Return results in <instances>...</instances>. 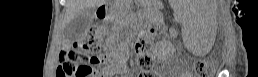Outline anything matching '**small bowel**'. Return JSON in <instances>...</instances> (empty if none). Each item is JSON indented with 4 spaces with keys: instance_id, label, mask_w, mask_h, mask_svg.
I'll list each match as a JSON object with an SVG mask.
<instances>
[{
    "instance_id": "1",
    "label": "small bowel",
    "mask_w": 258,
    "mask_h": 77,
    "mask_svg": "<svg viewBox=\"0 0 258 77\" xmlns=\"http://www.w3.org/2000/svg\"><path fill=\"white\" fill-rule=\"evenodd\" d=\"M126 57V50L118 53H107L102 55L100 58L103 68L100 70L97 77L107 76L109 74L122 71L125 67Z\"/></svg>"
}]
</instances>
